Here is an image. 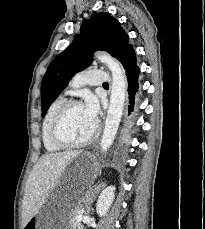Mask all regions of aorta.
Listing matches in <instances>:
<instances>
[{
    "mask_svg": "<svg viewBox=\"0 0 205 229\" xmlns=\"http://www.w3.org/2000/svg\"><path fill=\"white\" fill-rule=\"evenodd\" d=\"M96 59L104 63L112 74L110 104L100 147L106 152L112 145L123 114L127 82L120 63L106 53H97Z\"/></svg>",
    "mask_w": 205,
    "mask_h": 229,
    "instance_id": "762f6f07",
    "label": "aorta"
}]
</instances>
